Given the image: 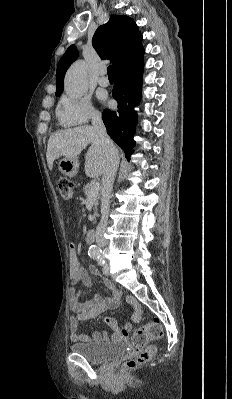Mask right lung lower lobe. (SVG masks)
I'll return each instance as SVG.
<instances>
[{
  "mask_svg": "<svg viewBox=\"0 0 232 399\" xmlns=\"http://www.w3.org/2000/svg\"><path fill=\"white\" fill-rule=\"evenodd\" d=\"M142 71L143 55L117 68L112 96L118 102V109L103 112V122L108 135L124 150L128 160L135 145L133 136L137 114L132 107L138 104L141 98Z\"/></svg>",
  "mask_w": 232,
  "mask_h": 399,
  "instance_id": "obj_1",
  "label": "right lung lower lobe"
}]
</instances>
